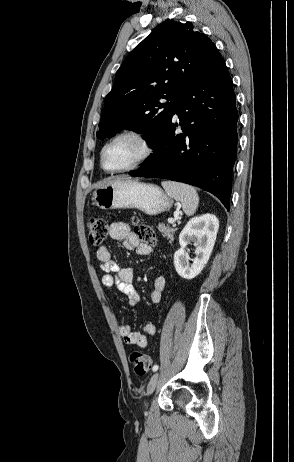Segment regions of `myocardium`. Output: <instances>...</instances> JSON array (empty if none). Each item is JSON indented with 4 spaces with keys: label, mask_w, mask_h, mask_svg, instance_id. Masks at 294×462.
I'll list each match as a JSON object with an SVG mask.
<instances>
[{
    "label": "myocardium",
    "mask_w": 294,
    "mask_h": 462,
    "mask_svg": "<svg viewBox=\"0 0 294 462\" xmlns=\"http://www.w3.org/2000/svg\"><path fill=\"white\" fill-rule=\"evenodd\" d=\"M123 137H132L136 139L137 141H139L140 144L142 145V152L140 156L132 164L124 168L113 169V170L107 169L104 165L105 150L107 149L109 145H111L116 140L123 138ZM154 151H155V146H154L152 137L148 132L141 130V129H136V128L124 129L116 133L114 136H112L102 146L100 150V166L105 172L112 173V174L133 171V170H136L142 167L146 162H148L149 159L153 156Z\"/></svg>",
    "instance_id": "myocardium-1"
}]
</instances>
